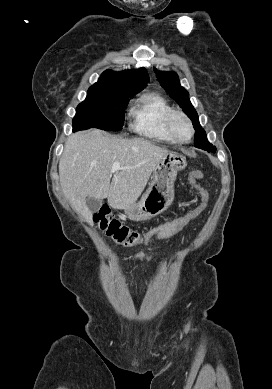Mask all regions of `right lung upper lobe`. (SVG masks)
I'll return each instance as SVG.
<instances>
[{
    "label": "right lung upper lobe",
    "mask_w": 272,
    "mask_h": 389,
    "mask_svg": "<svg viewBox=\"0 0 272 389\" xmlns=\"http://www.w3.org/2000/svg\"><path fill=\"white\" fill-rule=\"evenodd\" d=\"M148 82L149 76L145 68L123 72L106 70L90 88L136 94L142 91Z\"/></svg>",
    "instance_id": "cb5924a9"
}]
</instances>
